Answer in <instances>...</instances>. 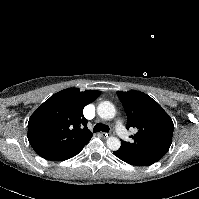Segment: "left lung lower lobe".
<instances>
[{"mask_svg":"<svg viewBox=\"0 0 199 199\" xmlns=\"http://www.w3.org/2000/svg\"><path fill=\"white\" fill-rule=\"evenodd\" d=\"M113 153L122 161L134 166L152 165L158 161L150 156L134 152L123 145Z\"/></svg>","mask_w":199,"mask_h":199,"instance_id":"1","label":"left lung lower lobe"}]
</instances>
